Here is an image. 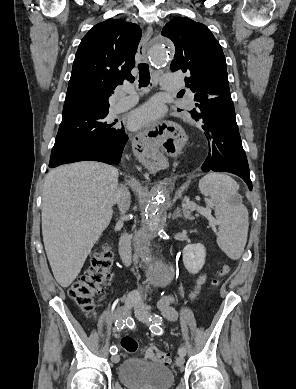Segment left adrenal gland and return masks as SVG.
Wrapping results in <instances>:
<instances>
[{
    "label": "left adrenal gland",
    "mask_w": 296,
    "mask_h": 389,
    "mask_svg": "<svg viewBox=\"0 0 296 389\" xmlns=\"http://www.w3.org/2000/svg\"><path fill=\"white\" fill-rule=\"evenodd\" d=\"M182 213H181V208H176V210L174 211L173 215H172V220L174 219H177V218H182Z\"/></svg>",
    "instance_id": "a2214340"
}]
</instances>
